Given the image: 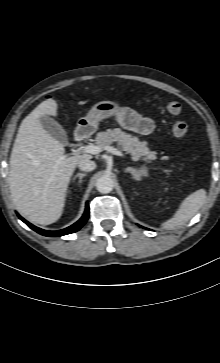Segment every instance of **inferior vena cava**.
I'll use <instances>...</instances> for the list:
<instances>
[{"mask_svg": "<svg viewBox=\"0 0 220 363\" xmlns=\"http://www.w3.org/2000/svg\"><path fill=\"white\" fill-rule=\"evenodd\" d=\"M78 167L82 171L89 172V171H92V170H94L96 168V163L94 161L89 160V159H81L78 162Z\"/></svg>", "mask_w": 220, "mask_h": 363, "instance_id": "1", "label": "inferior vena cava"}]
</instances>
